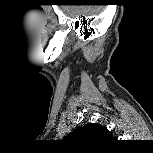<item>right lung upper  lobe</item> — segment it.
Returning a JSON list of instances; mask_svg holds the SVG:
<instances>
[{
    "instance_id": "1",
    "label": "right lung upper lobe",
    "mask_w": 153,
    "mask_h": 153,
    "mask_svg": "<svg viewBox=\"0 0 153 153\" xmlns=\"http://www.w3.org/2000/svg\"><path fill=\"white\" fill-rule=\"evenodd\" d=\"M65 139L81 147H96L112 141L113 137L106 127L88 123L74 129Z\"/></svg>"
}]
</instances>
